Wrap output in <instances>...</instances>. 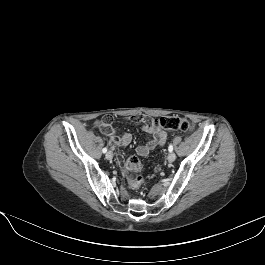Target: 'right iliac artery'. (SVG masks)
I'll list each match as a JSON object with an SVG mask.
<instances>
[{
  "instance_id": "obj_1",
  "label": "right iliac artery",
  "mask_w": 265,
  "mask_h": 265,
  "mask_svg": "<svg viewBox=\"0 0 265 265\" xmlns=\"http://www.w3.org/2000/svg\"><path fill=\"white\" fill-rule=\"evenodd\" d=\"M102 152H103V153H106V152H107V148H106V147L103 148Z\"/></svg>"
}]
</instances>
